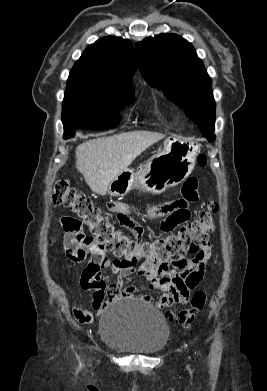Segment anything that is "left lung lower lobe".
<instances>
[{"mask_svg": "<svg viewBox=\"0 0 267 391\" xmlns=\"http://www.w3.org/2000/svg\"><path fill=\"white\" fill-rule=\"evenodd\" d=\"M204 136L207 137L209 139V141L213 140V136H212V134L210 132H205Z\"/></svg>", "mask_w": 267, "mask_h": 391, "instance_id": "1", "label": "left lung lower lobe"}]
</instances>
